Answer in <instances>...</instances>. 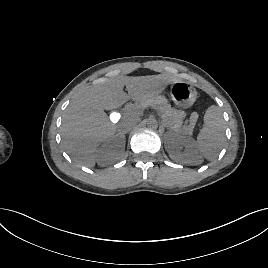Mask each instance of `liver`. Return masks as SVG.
Wrapping results in <instances>:
<instances>
[{"label": "liver", "mask_w": 268, "mask_h": 268, "mask_svg": "<svg viewBox=\"0 0 268 268\" xmlns=\"http://www.w3.org/2000/svg\"><path fill=\"white\" fill-rule=\"evenodd\" d=\"M175 81L178 79L164 74L116 76L85 87L73 98L63 117L61 130L67 153L75 162L93 167L98 146L117 128L105 110L117 109L130 99L142 102L158 96Z\"/></svg>", "instance_id": "liver-1"}]
</instances>
